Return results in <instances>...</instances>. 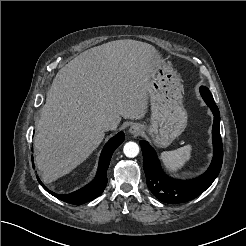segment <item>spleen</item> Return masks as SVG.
I'll list each match as a JSON object with an SVG mask.
<instances>
[{
	"instance_id": "obj_1",
	"label": "spleen",
	"mask_w": 246,
	"mask_h": 246,
	"mask_svg": "<svg viewBox=\"0 0 246 246\" xmlns=\"http://www.w3.org/2000/svg\"><path fill=\"white\" fill-rule=\"evenodd\" d=\"M192 149V145L188 144L173 151H165L160 154V159L169 172L177 173L191 159Z\"/></svg>"
}]
</instances>
